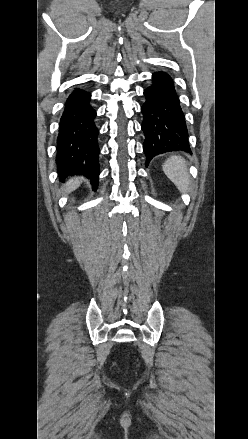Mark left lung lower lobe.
<instances>
[{"label":"left lung lower lobe","mask_w":248,"mask_h":439,"mask_svg":"<svg viewBox=\"0 0 248 439\" xmlns=\"http://www.w3.org/2000/svg\"><path fill=\"white\" fill-rule=\"evenodd\" d=\"M146 101L141 107L143 145L146 166L156 155L182 150L191 152L185 116L172 78L159 71L152 75V84L144 90Z\"/></svg>","instance_id":"obj_1"}]
</instances>
